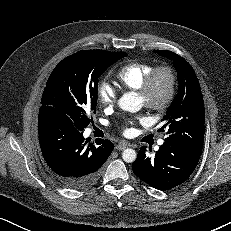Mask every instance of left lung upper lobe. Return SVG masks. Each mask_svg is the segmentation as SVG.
I'll return each instance as SVG.
<instances>
[{"label":"left lung upper lobe","instance_id":"left-lung-upper-lobe-1","mask_svg":"<svg viewBox=\"0 0 231 231\" xmlns=\"http://www.w3.org/2000/svg\"><path fill=\"white\" fill-rule=\"evenodd\" d=\"M173 60L179 90L162 121L167 129L165 142L183 147L202 148L205 132L204 101L197 76L189 63L170 51H156Z\"/></svg>","mask_w":231,"mask_h":231}]
</instances>
